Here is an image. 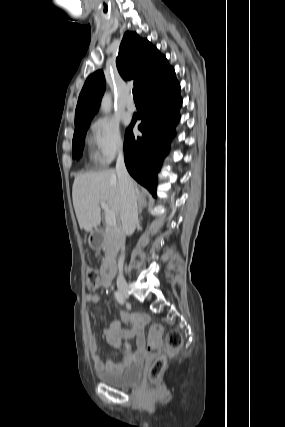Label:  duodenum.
<instances>
[{
    "instance_id": "1",
    "label": "duodenum",
    "mask_w": 285,
    "mask_h": 427,
    "mask_svg": "<svg viewBox=\"0 0 285 427\" xmlns=\"http://www.w3.org/2000/svg\"><path fill=\"white\" fill-rule=\"evenodd\" d=\"M115 269H116L115 258L112 255H110L103 266L104 282H107L113 277L115 273Z\"/></svg>"
}]
</instances>
